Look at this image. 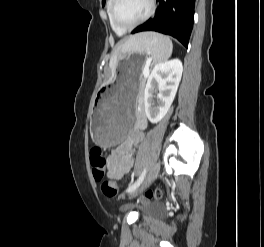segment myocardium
I'll use <instances>...</instances> for the list:
<instances>
[{
    "mask_svg": "<svg viewBox=\"0 0 264 247\" xmlns=\"http://www.w3.org/2000/svg\"><path fill=\"white\" fill-rule=\"evenodd\" d=\"M119 2H120V0H113L110 12H111V19H112L113 24L117 28H119L123 31L132 30V29L140 26L141 24L145 23L153 15V13L155 12V9H156L155 0H149V8H148L147 13L140 20L136 21L135 23L125 25V24L120 23V21L117 18V7H118Z\"/></svg>",
    "mask_w": 264,
    "mask_h": 247,
    "instance_id": "f54148a6",
    "label": "myocardium"
}]
</instances>
